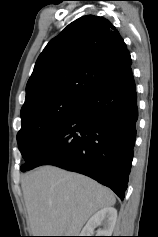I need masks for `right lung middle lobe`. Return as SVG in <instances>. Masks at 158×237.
<instances>
[{
    "instance_id": "right-lung-middle-lobe-1",
    "label": "right lung middle lobe",
    "mask_w": 158,
    "mask_h": 237,
    "mask_svg": "<svg viewBox=\"0 0 158 237\" xmlns=\"http://www.w3.org/2000/svg\"><path fill=\"white\" fill-rule=\"evenodd\" d=\"M84 101L54 98L21 113L22 127L17 134L18 148L26 163L32 159L40 145L63 125Z\"/></svg>"
}]
</instances>
